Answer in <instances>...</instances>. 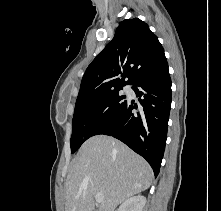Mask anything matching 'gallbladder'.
Instances as JSON below:
<instances>
[{
  "instance_id": "obj_1",
  "label": "gallbladder",
  "mask_w": 221,
  "mask_h": 211,
  "mask_svg": "<svg viewBox=\"0 0 221 211\" xmlns=\"http://www.w3.org/2000/svg\"><path fill=\"white\" fill-rule=\"evenodd\" d=\"M94 211H98V209H97V208H95V209H94Z\"/></svg>"
}]
</instances>
